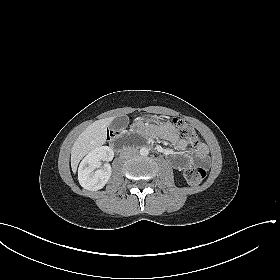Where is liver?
Here are the masks:
<instances>
[{"label":"liver","instance_id":"obj_1","mask_svg":"<svg viewBox=\"0 0 280 280\" xmlns=\"http://www.w3.org/2000/svg\"><path fill=\"white\" fill-rule=\"evenodd\" d=\"M115 117L97 120L89 125L76 139L71 149V167L76 172L80 160L91 150L106 142L107 127Z\"/></svg>","mask_w":280,"mask_h":280}]
</instances>
